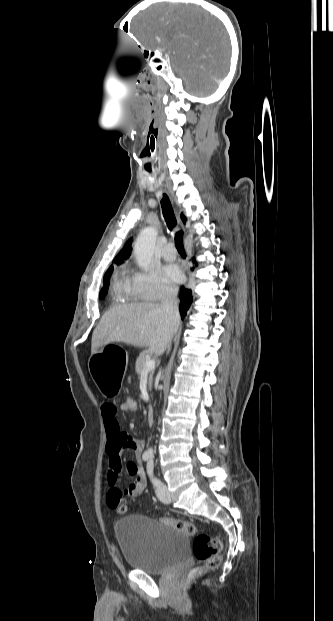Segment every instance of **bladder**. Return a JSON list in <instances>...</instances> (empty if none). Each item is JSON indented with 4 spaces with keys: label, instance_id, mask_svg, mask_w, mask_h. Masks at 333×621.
<instances>
[{
    "label": "bladder",
    "instance_id": "31cf9c89",
    "mask_svg": "<svg viewBox=\"0 0 333 621\" xmlns=\"http://www.w3.org/2000/svg\"><path fill=\"white\" fill-rule=\"evenodd\" d=\"M115 534L126 564L151 575L169 573L189 553L186 534L145 515L119 519Z\"/></svg>",
    "mask_w": 333,
    "mask_h": 621
}]
</instances>
